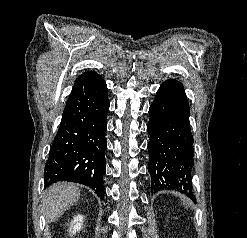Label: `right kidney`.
I'll use <instances>...</instances> for the list:
<instances>
[{"mask_svg": "<svg viewBox=\"0 0 247 238\" xmlns=\"http://www.w3.org/2000/svg\"><path fill=\"white\" fill-rule=\"evenodd\" d=\"M84 217L82 215L75 216L70 223L69 234L72 236L83 226Z\"/></svg>", "mask_w": 247, "mask_h": 238, "instance_id": "1", "label": "right kidney"}]
</instances>
